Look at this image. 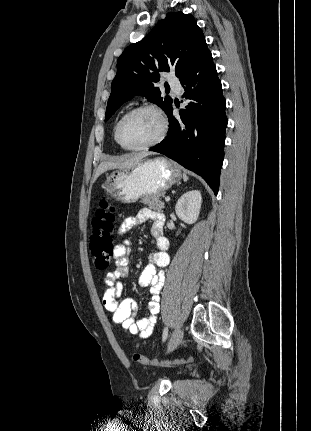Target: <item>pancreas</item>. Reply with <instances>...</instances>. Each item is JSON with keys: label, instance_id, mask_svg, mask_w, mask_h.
<instances>
[{"label": "pancreas", "instance_id": "pancreas-1", "mask_svg": "<svg viewBox=\"0 0 311 431\" xmlns=\"http://www.w3.org/2000/svg\"><path fill=\"white\" fill-rule=\"evenodd\" d=\"M166 192H161V194H155V196H145V198H140V204H145L150 210L154 212H162L164 208L161 198H164Z\"/></svg>", "mask_w": 311, "mask_h": 431}]
</instances>
